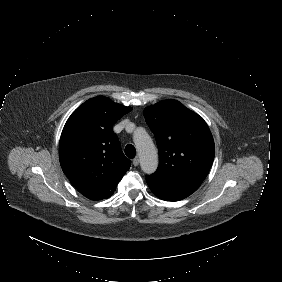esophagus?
<instances>
[{
  "label": "esophagus",
  "mask_w": 282,
  "mask_h": 282,
  "mask_svg": "<svg viewBox=\"0 0 282 282\" xmlns=\"http://www.w3.org/2000/svg\"><path fill=\"white\" fill-rule=\"evenodd\" d=\"M132 163H133V166L137 167L139 165V158L138 157L134 158Z\"/></svg>",
  "instance_id": "1"
}]
</instances>
